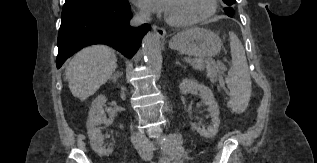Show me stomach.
<instances>
[{"instance_id": "0dacf381", "label": "stomach", "mask_w": 317, "mask_h": 163, "mask_svg": "<svg viewBox=\"0 0 317 163\" xmlns=\"http://www.w3.org/2000/svg\"><path fill=\"white\" fill-rule=\"evenodd\" d=\"M169 46L183 54L203 58L218 54L222 42L216 33L194 27L177 33L169 42Z\"/></svg>"}]
</instances>
